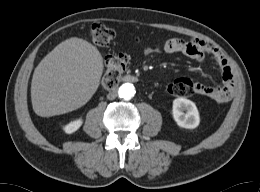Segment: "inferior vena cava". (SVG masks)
Listing matches in <instances>:
<instances>
[{
	"mask_svg": "<svg viewBox=\"0 0 260 192\" xmlns=\"http://www.w3.org/2000/svg\"><path fill=\"white\" fill-rule=\"evenodd\" d=\"M117 91L116 90H112L111 92L108 93L107 98L109 100H114L117 97Z\"/></svg>",
	"mask_w": 260,
	"mask_h": 192,
	"instance_id": "obj_1",
	"label": "inferior vena cava"
}]
</instances>
